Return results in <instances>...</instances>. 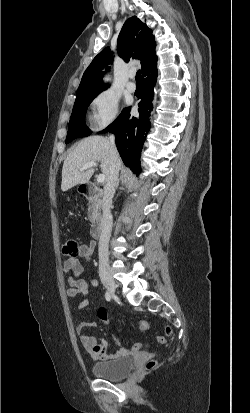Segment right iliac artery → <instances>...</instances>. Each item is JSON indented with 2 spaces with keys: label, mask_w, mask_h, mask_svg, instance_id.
Listing matches in <instances>:
<instances>
[{
  "label": "right iliac artery",
  "mask_w": 250,
  "mask_h": 413,
  "mask_svg": "<svg viewBox=\"0 0 250 413\" xmlns=\"http://www.w3.org/2000/svg\"><path fill=\"white\" fill-rule=\"evenodd\" d=\"M105 298H106L107 301H110V300H111V295H110L109 292H106V293H105Z\"/></svg>",
  "instance_id": "right-iliac-artery-1"
}]
</instances>
